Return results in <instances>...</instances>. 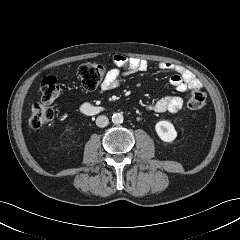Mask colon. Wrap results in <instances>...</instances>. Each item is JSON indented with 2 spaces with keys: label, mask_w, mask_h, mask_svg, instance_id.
Returning a JSON list of instances; mask_svg holds the SVG:
<instances>
[{
  "label": "colon",
  "mask_w": 240,
  "mask_h": 240,
  "mask_svg": "<svg viewBox=\"0 0 240 240\" xmlns=\"http://www.w3.org/2000/svg\"><path fill=\"white\" fill-rule=\"evenodd\" d=\"M80 86L85 91H93L103 81L105 68L100 64L84 63L78 68ZM60 94V86L54 76H47L41 82V102L36 103L31 110L30 125L39 129L49 125L55 112L48 104ZM206 93L201 88L191 90L188 96V107L196 115L205 105Z\"/></svg>",
  "instance_id": "1"
}]
</instances>
